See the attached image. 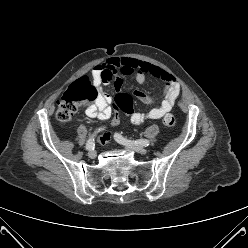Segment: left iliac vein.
I'll use <instances>...</instances> for the list:
<instances>
[{
    "label": "left iliac vein",
    "instance_id": "obj_1",
    "mask_svg": "<svg viewBox=\"0 0 248 248\" xmlns=\"http://www.w3.org/2000/svg\"><path fill=\"white\" fill-rule=\"evenodd\" d=\"M126 148L128 149H132L134 150L135 152L137 153H140V154H146L147 153V149L143 148V147H140V146H136L134 144H127V145H124Z\"/></svg>",
    "mask_w": 248,
    "mask_h": 248
}]
</instances>
